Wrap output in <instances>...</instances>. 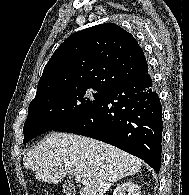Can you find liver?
I'll list each match as a JSON object with an SVG mask.
<instances>
[{
    "mask_svg": "<svg viewBox=\"0 0 189 195\" xmlns=\"http://www.w3.org/2000/svg\"><path fill=\"white\" fill-rule=\"evenodd\" d=\"M23 161L38 180L49 184L66 175L80 176L88 181L80 195H103L116 181L141 169L140 159L115 146L62 132H51Z\"/></svg>",
    "mask_w": 189,
    "mask_h": 195,
    "instance_id": "liver-1",
    "label": "liver"
}]
</instances>
